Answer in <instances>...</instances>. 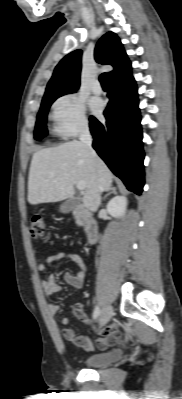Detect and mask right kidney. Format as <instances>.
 <instances>
[{
	"instance_id": "ca27d5eb",
	"label": "right kidney",
	"mask_w": 182,
	"mask_h": 399,
	"mask_svg": "<svg viewBox=\"0 0 182 399\" xmlns=\"http://www.w3.org/2000/svg\"><path fill=\"white\" fill-rule=\"evenodd\" d=\"M126 206H127L126 197L115 196L108 202L106 208H107V212L111 216H113L115 218H121L125 215Z\"/></svg>"
}]
</instances>
